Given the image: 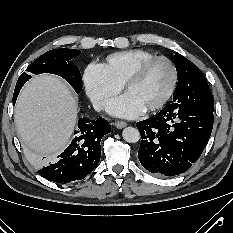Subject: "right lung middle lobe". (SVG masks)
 Listing matches in <instances>:
<instances>
[{
    "label": "right lung middle lobe",
    "instance_id": "1",
    "mask_svg": "<svg viewBox=\"0 0 233 233\" xmlns=\"http://www.w3.org/2000/svg\"><path fill=\"white\" fill-rule=\"evenodd\" d=\"M81 52L76 49H53L35 60L18 79L17 85H24L32 74L52 73L61 76L74 88L76 93L82 90V77L79 68L72 59Z\"/></svg>",
    "mask_w": 233,
    "mask_h": 233
}]
</instances>
